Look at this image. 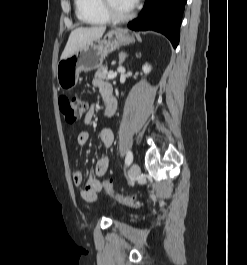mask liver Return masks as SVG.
I'll return each instance as SVG.
<instances>
[{"label": "liver", "instance_id": "6515ba94", "mask_svg": "<svg viewBox=\"0 0 247 265\" xmlns=\"http://www.w3.org/2000/svg\"><path fill=\"white\" fill-rule=\"evenodd\" d=\"M106 27L77 28L69 36L61 59L67 58L74 54L81 47L95 40H98L104 34Z\"/></svg>", "mask_w": 247, "mask_h": 265}]
</instances>
